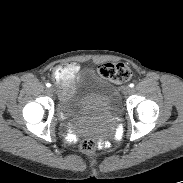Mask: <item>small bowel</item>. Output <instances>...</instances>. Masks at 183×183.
Here are the masks:
<instances>
[{
  "instance_id": "obj_1",
  "label": "small bowel",
  "mask_w": 183,
  "mask_h": 183,
  "mask_svg": "<svg viewBox=\"0 0 183 183\" xmlns=\"http://www.w3.org/2000/svg\"><path fill=\"white\" fill-rule=\"evenodd\" d=\"M57 71L70 73L72 76L70 83L61 86V94L66 96L71 92L74 78L77 77L78 80L81 78L80 67L76 63H67L59 67Z\"/></svg>"
}]
</instances>
